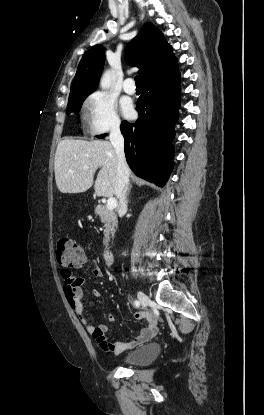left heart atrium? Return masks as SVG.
Listing matches in <instances>:
<instances>
[{"label":"left heart atrium","mask_w":264,"mask_h":415,"mask_svg":"<svg viewBox=\"0 0 264 415\" xmlns=\"http://www.w3.org/2000/svg\"><path fill=\"white\" fill-rule=\"evenodd\" d=\"M121 107L125 116H130L132 114L133 109L130 102L124 101Z\"/></svg>","instance_id":"obj_1"}]
</instances>
